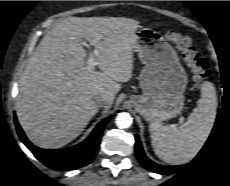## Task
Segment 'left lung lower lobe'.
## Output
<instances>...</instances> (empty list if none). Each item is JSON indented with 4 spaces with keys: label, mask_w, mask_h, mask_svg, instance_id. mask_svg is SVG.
Wrapping results in <instances>:
<instances>
[{
    "label": "left lung lower lobe",
    "mask_w": 230,
    "mask_h": 186,
    "mask_svg": "<svg viewBox=\"0 0 230 186\" xmlns=\"http://www.w3.org/2000/svg\"><path fill=\"white\" fill-rule=\"evenodd\" d=\"M135 152L139 162L142 164L144 168L158 174H164V175L174 174L181 169H186L189 165L187 164L182 166H162L152 162L145 155L138 135H136L135 137Z\"/></svg>",
    "instance_id": "left-lung-lower-lobe-1"
}]
</instances>
